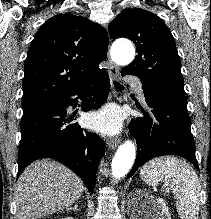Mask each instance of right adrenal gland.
<instances>
[{
    "label": "right adrenal gland",
    "instance_id": "obj_1",
    "mask_svg": "<svg viewBox=\"0 0 211 219\" xmlns=\"http://www.w3.org/2000/svg\"><path fill=\"white\" fill-rule=\"evenodd\" d=\"M70 210L78 211V204H77V202L74 203V206H73V207H70V208H67V209H66V211H70Z\"/></svg>",
    "mask_w": 211,
    "mask_h": 219
}]
</instances>
